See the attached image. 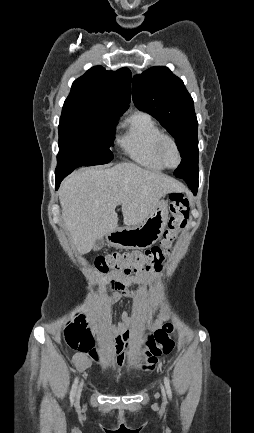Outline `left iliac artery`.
<instances>
[{"label": "left iliac artery", "mask_w": 254, "mask_h": 433, "mask_svg": "<svg viewBox=\"0 0 254 433\" xmlns=\"http://www.w3.org/2000/svg\"><path fill=\"white\" fill-rule=\"evenodd\" d=\"M164 384H165L167 395L171 399L172 398V391H171L170 383H169V380L167 377H164Z\"/></svg>", "instance_id": "left-iliac-artery-1"}]
</instances>
